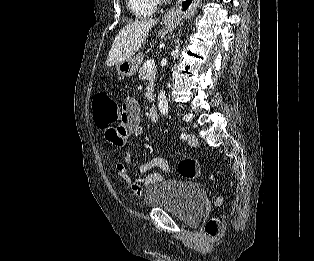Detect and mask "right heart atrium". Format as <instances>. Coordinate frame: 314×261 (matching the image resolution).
Returning <instances> with one entry per match:
<instances>
[{
  "label": "right heart atrium",
  "mask_w": 314,
  "mask_h": 261,
  "mask_svg": "<svg viewBox=\"0 0 314 261\" xmlns=\"http://www.w3.org/2000/svg\"><path fill=\"white\" fill-rule=\"evenodd\" d=\"M159 0H155V2L157 3Z\"/></svg>",
  "instance_id": "obj_1"
}]
</instances>
